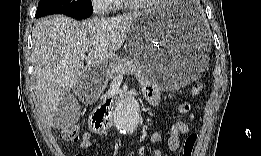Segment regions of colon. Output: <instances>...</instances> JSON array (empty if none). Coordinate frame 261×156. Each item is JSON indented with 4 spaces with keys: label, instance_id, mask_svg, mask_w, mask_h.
<instances>
[{
    "label": "colon",
    "instance_id": "1",
    "mask_svg": "<svg viewBox=\"0 0 261 156\" xmlns=\"http://www.w3.org/2000/svg\"><path fill=\"white\" fill-rule=\"evenodd\" d=\"M204 89L202 81L194 82L191 86V95L193 97L199 96ZM111 110L110 104L104 103L99 105L91 114L89 118V127L95 133H103L106 131L110 124ZM60 138L64 141H75L78 138V132L74 128L62 130ZM197 135H189L184 143L183 153L184 156H192L196 144Z\"/></svg>",
    "mask_w": 261,
    "mask_h": 156
}]
</instances>
